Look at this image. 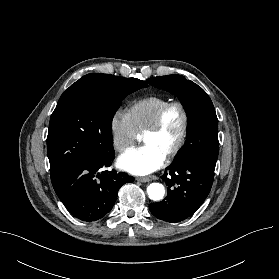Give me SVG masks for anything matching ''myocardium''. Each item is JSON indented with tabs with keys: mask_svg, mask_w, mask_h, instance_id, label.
<instances>
[{
	"mask_svg": "<svg viewBox=\"0 0 279 279\" xmlns=\"http://www.w3.org/2000/svg\"><path fill=\"white\" fill-rule=\"evenodd\" d=\"M173 107L179 108L182 114V129H181L179 139L176 142L175 146L166 155V158L168 159L175 157L179 153L187 138L188 128H189V115L185 105L180 101H169L168 103H166L160 108L153 123L143 132V137H144L148 134H152L159 131L163 125L164 118L167 112Z\"/></svg>",
	"mask_w": 279,
	"mask_h": 279,
	"instance_id": "myocardium-1",
	"label": "myocardium"
}]
</instances>
